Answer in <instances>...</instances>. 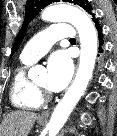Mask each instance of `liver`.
<instances>
[{"instance_id": "liver-1", "label": "liver", "mask_w": 117, "mask_h": 136, "mask_svg": "<svg viewBox=\"0 0 117 136\" xmlns=\"http://www.w3.org/2000/svg\"><path fill=\"white\" fill-rule=\"evenodd\" d=\"M37 114L31 111L16 110L8 113L0 126V136H27L32 129Z\"/></svg>"}]
</instances>
